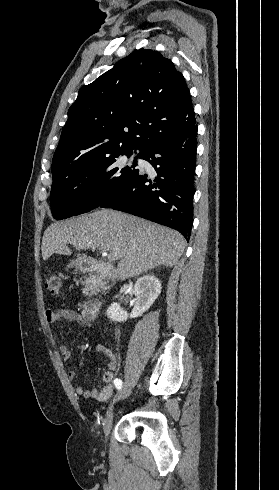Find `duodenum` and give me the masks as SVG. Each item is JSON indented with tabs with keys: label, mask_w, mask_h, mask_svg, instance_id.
I'll return each mask as SVG.
<instances>
[{
	"label": "duodenum",
	"mask_w": 279,
	"mask_h": 490,
	"mask_svg": "<svg viewBox=\"0 0 279 490\" xmlns=\"http://www.w3.org/2000/svg\"><path fill=\"white\" fill-rule=\"evenodd\" d=\"M84 271L95 272L103 278L114 279L115 269L110 263L97 261V260H86L81 265ZM100 309V302L95 300H90L86 302L83 307L82 314L85 319L93 320Z\"/></svg>",
	"instance_id": "duodenum-1"
}]
</instances>
